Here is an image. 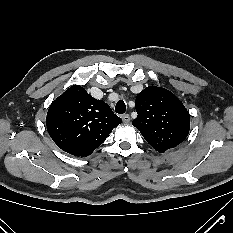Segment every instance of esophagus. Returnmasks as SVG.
I'll return each mask as SVG.
<instances>
[{"label":"esophagus","instance_id":"1","mask_svg":"<svg viewBox=\"0 0 233 233\" xmlns=\"http://www.w3.org/2000/svg\"><path fill=\"white\" fill-rule=\"evenodd\" d=\"M122 120L124 123H128L130 121V116L128 114L122 115Z\"/></svg>","mask_w":233,"mask_h":233}]
</instances>
